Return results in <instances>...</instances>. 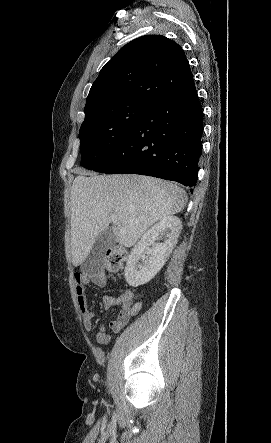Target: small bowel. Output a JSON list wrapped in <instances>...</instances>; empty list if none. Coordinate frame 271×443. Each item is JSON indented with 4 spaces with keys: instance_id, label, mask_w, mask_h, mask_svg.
<instances>
[{
    "instance_id": "1",
    "label": "small bowel",
    "mask_w": 271,
    "mask_h": 443,
    "mask_svg": "<svg viewBox=\"0 0 271 443\" xmlns=\"http://www.w3.org/2000/svg\"><path fill=\"white\" fill-rule=\"evenodd\" d=\"M74 281L78 307L83 318V325L85 330L90 332L94 328L97 313L96 310L89 308L87 304L85 288L89 285L104 287L107 283V278L102 270L90 273L76 272L74 274ZM103 304L107 309L121 306L119 314L108 323L109 327L114 332H119L133 316L139 313L142 307L141 303L133 302V292L129 288H125L118 297L105 296L103 298ZM96 340L100 344H108L110 342L111 336L106 333L105 325H101L98 328Z\"/></svg>"
}]
</instances>
